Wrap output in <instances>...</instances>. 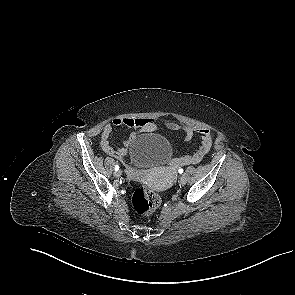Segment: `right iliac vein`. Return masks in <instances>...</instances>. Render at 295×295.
<instances>
[{"mask_svg":"<svg viewBox=\"0 0 295 295\" xmlns=\"http://www.w3.org/2000/svg\"><path fill=\"white\" fill-rule=\"evenodd\" d=\"M122 172L120 170H117L114 172V176L119 178L121 176Z\"/></svg>","mask_w":295,"mask_h":295,"instance_id":"1","label":"right iliac vein"}]
</instances>
